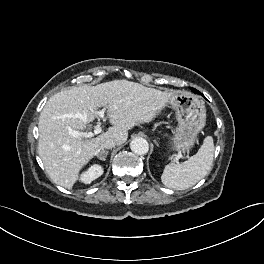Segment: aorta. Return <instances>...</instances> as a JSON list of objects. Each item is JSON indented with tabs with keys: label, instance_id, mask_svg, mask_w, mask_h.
Returning <instances> with one entry per match:
<instances>
[{
	"label": "aorta",
	"instance_id": "aorta-1",
	"mask_svg": "<svg viewBox=\"0 0 264 264\" xmlns=\"http://www.w3.org/2000/svg\"><path fill=\"white\" fill-rule=\"evenodd\" d=\"M130 148L135 154L145 155L149 151V144L146 139L137 137L131 141Z\"/></svg>",
	"mask_w": 264,
	"mask_h": 264
}]
</instances>
